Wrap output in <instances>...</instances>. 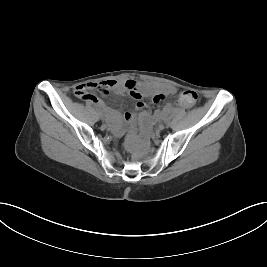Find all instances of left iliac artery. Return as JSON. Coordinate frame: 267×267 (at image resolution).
<instances>
[{
  "label": "left iliac artery",
  "instance_id": "left-iliac-artery-1",
  "mask_svg": "<svg viewBox=\"0 0 267 267\" xmlns=\"http://www.w3.org/2000/svg\"><path fill=\"white\" fill-rule=\"evenodd\" d=\"M163 121H164L165 123H169V122L171 121V118H170V117H164V118H163Z\"/></svg>",
  "mask_w": 267,
  "mask_h": 267
}]
</instances>
